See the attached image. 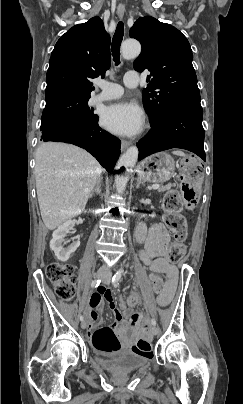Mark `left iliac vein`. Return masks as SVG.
<instances>
[{"instance_id": "obj_1", "label": "left iliac vein", "mask_w": 243, "mask_h": 404, "mask_svg": "<svg viewBox=\"0 0 243 404\" xmlns=\"http://www.w3.org/2000/svg\"><path fill=\"white\" fill-rule=\"evenodd\" d=\"M111 281V273H107L104 276V284H109ZM151 332L153 335H157L159 333V330L156 326L151 327Z\"/></svg>"}]
</instances>
